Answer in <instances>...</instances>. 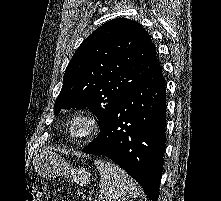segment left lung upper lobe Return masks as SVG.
Here are the masks:
<instances>
[{"label": "left lung upper lobe", "instance_id": "obj_1", "mask_svg": "<svg viewBox=\"0 0 221 201\" xmlns=\"http://www.w3.org/2000/svg\"><path fill=\"white\" fill-rule=\"evenodd\" d=\"M159 66L155 46L139 23L110 20L76 50L65 70L55 113L88 107L102 129L117 104Z\"/></svg>", "mask_w": 221, "mask_h": 201}]
</instances>
